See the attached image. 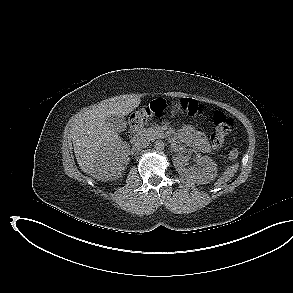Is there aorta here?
<instances>
[{
    "mask_svg": "<svg viewBox=\"0 0 293 293\" xmlns=\"http://www.w3.org/2000/svg\"><path fill=\"white\" fill-rule=\"evenodd\" d=\"M164 147H165V143H164L162 140H157V141H155V143H154V148H155L156 150H163Z\"/></svg>",
    "mask_w": 293,
    "mask_h": 293,
    "instance_id": "obj_1",
    "label": "aorta"
}]
</instances>
